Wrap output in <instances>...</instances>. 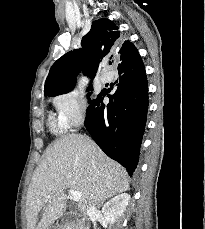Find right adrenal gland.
<instances>
[{
  "mask_svg": "<svg viewBox=\"0 0 205 229\" xmlns=\"http://www.w3.org/2000/svg\"><path fill=\"white\" fill-rule=\"evenodd\" d=\"M101 204H103V202H101L98 206H101Z\"/></svg>",
  "mask_w": 205,
  "mask_h": 229,
  "instance_id": "1",
  "label": "right adrenal gland"
}]
</instances>
